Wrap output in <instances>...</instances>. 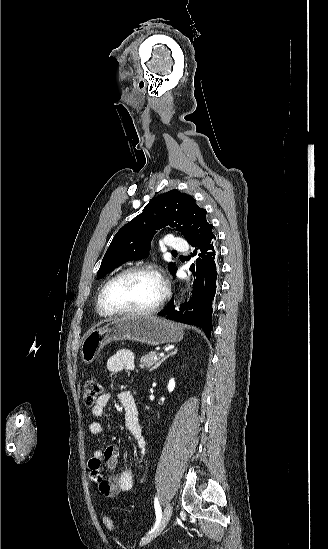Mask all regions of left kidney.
<instances>
[{
  "mask_svg": "<svg viewBox=\"0 0 328 549\" xmlns=\"http://www.w3.org/2000/svg\"><path fill=\"white\" fill-rule=\"evenodd\" d=\"M167 389L169 391V393H172V391H174L175 389V381L174 379H170L168 385H167Z\"/></svg>",
  "mask_w": 328,
  "mask_h": 549,
  "instance_id": "1",
  "label": "left kidney"
}]
</instances>
